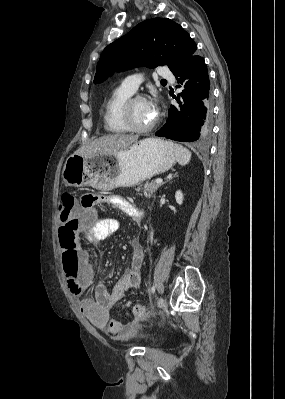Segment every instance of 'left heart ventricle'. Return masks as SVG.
I'll return each mask as SVG.
<instances>
[{
    "instance_id": "left-heart-ventricle-1",
    "label": "left heart ventricle",
    "mask_w": 285,
    "mask_h": 399,
    "mask_svg": "<svg viewBox=\"0 0 285 399\" xmlns=\"http://www.w3.org/2000/svg\"><path fill=\"white\" fill-rule=\"evenodd\" d=\"M133 122L138 127H144L152 123L155 116L151 113L146 100H137L132 106Z\"/></svg>"
}]
</instances>
